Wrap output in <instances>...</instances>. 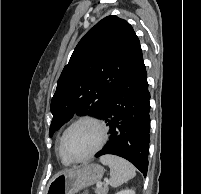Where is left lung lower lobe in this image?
<instances>
[{
	"mask_svg": "<svg viewBox=\"0 0 201 194\" xmlns=\"http://www.w3.org/2000/svg\"><path fill=\"white\" fill-rule=\"evenodd\" d=\"M149 99L147 73L140 51L100 115L109 126L110 139L96 157L105 154L123 157L146 176L150 142Z\"/></svg>",
	"mask_w": 201,
	"mask_h": 194,
	"instance_id": "left-lung-lower-lobe-1",
	"label": "left lung lower lobe"
}]
</instances>
